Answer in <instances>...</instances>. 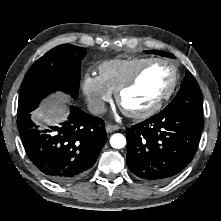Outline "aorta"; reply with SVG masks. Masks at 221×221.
Segmentation results:
<instances>
[{
    "mask_svg": "<svg viewBox=\"0 0 221 221\" xmlns=\"http://www.w3.org/2000/svg\"><path fill=\"white\" fill-rule=\"evenodd\" d=\"M110 144L115 149H121L126 145V138L120 133L113 134L110 138Z\"/></svg>",
    "mask_w": 221,
    "mask_h": 221,
    "instance_id": "762f6f07",
    "label": "aorta"
}]
</instances>
